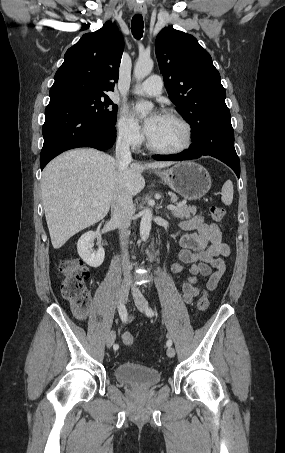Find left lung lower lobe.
<instances>
[{"instance_id":"0a47b994","label":"left lung lower lobe","mask_w":285,"mask_h":453,"mask_svg":"<svg viewBox=\"0 0 285 453\" xmlns=\"http://www.w3.org/2000/svg\"><path fill=\"white\" fill-rule=\"evenodd\" d=\"M191 139L193 143L187 151L174 155H155L153 158L164 161H182L201 156H212L231 167L239 178L240 162L234 148L232 128H212Z\"/></svg>"}]
</instances>
